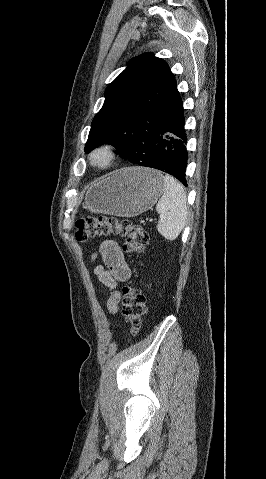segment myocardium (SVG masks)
<instances>
[{"instance_id": "myocardium-1", "label": "myocardium", "mask_w": 266, "mask_h": 479, "mask_svg": "<svg viewBox=\"0 0 266 479\" xmlns=\"http://www.w3.org/2000/svg\"><path fill=\"white\" fill-rule=\"evenodd\" d=\"M116 158V148L112 144H101L89 154L90 164L100 170L109 169Z\"/></svg>"}]
</instances>
